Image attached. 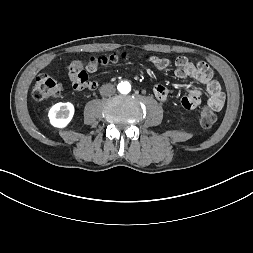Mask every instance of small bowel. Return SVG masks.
Here are the masks:
<instances>
[{
  "label": "small bowel",
  "instance_id": "small-bowel-1",
  "mask_svg": "<svg viewBox=\"0 0 253 253\" xmlns=\"http://www.w3.org/2000/svg\"><path fill=\"white\" fill-rule=\"evenodd\" d=\"M152 67L154 70L159 71L163 68L170 69L173 67L174 62L172 59H161L158 57L151 58ZM177 66L176 75L180 78L192 77L193 79L201 82L208 94V105L210 108L219 111L223 108L225 103V95L219 82L214 78L211 69L204 63H193L185 57L176 59ZM154 95L159 101H165L168 98L169 90L163 85L157 84L154 86ZM202 98V92L197 89H188L186 95L180 99V107L183 110H190L196 108Z\"/></svg>",
  "mask_w": 253,
  "mask_h": 253
}]
</instances>
